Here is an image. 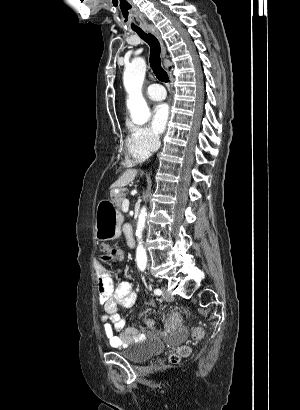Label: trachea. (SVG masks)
<instances>
[{
  "mask_svg": "<svg viewBox=\"0 0 300 410\" xmlns=\"http://www.w3.org/2000/svg\"><path fill=\"white\" fill-rule=\"evenodd\" d=\"M129 5V4H128ZM134 31L142 38L149 46H150V66L161 82H168V74L161 66V58H160V43L157 38L151 33H145L141 29H134Z\"/></svg>",
  "mask_w": 300,
  "mask_h": 410,
  "instance_id": "1",
  "label": "trachea"
}]
</instances>
